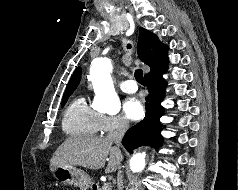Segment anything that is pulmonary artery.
<instances>
[{"instance_id":"e3ab8cb5","label":"pulmonary artery","mask_w":238,"mask_h":190,"mask_svg":"<svg viewBox=\"0 0 238 190\" xmlns=\"http://www.w3.org/2000/svg\"><path fill=\"white\" fill-rule=\"evenodd\" d=\"M120 88L125 93H134L137 91V85L133 80H125L120 83Z\"/></svg>"}]
</instances>
